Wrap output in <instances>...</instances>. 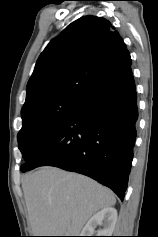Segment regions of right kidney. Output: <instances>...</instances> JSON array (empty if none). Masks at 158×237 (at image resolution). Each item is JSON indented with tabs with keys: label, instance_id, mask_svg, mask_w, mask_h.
<instances>
[{
	"label": "right kidney",
	"instance_id": "right-kidney-1",
	"mask_svg": "<svg viewBox=\"0 0 158 237\" xmlns=\"http://www.w3.org/2000/svg\"><path fill=\"white\" fill-rule=\"evenodd\" d=\"M117 221V210L107 207L94 214L84 226L80 236H93L95 228L101 226L96 236H112Z\"/></svg>",
	"mask_w": 158,
	"mask_h": 237
}]
</instances>
